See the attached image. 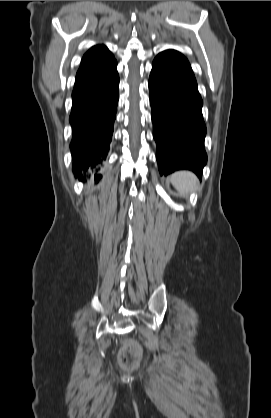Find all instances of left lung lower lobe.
Here are the masks:
<instances>
[{
	"label": "left lung lower lobe",
	"instance_id": "obj_1",
	"mask_svg": "<svg viewBox=\"0 0 271 418\" xmlns=\"http://www.w3.org/2000/svg\"><path fill=\"white\" fill-rule=\"evenodd\" d=\"M149 90L160 174L189 169L201 178L207 162L206 125L188 60L175 50L159 53L152 63Z\"/></svg>",
	"mask_w": 271,
	"mask_h": 418
}]
</instances>
